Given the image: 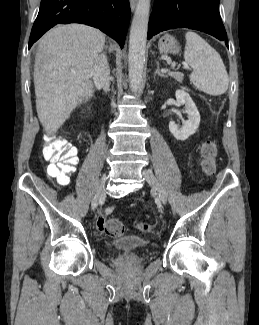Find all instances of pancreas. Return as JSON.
Instances as JSON below:
<instances>
[{
	"mask_svg": "<svg viewBox=\"0 0 259 325\" xmlns=\"http://www.w3.org/2000/svg\"><path fill=\"white\" fill-rule=\"evenodd\" d=\"M168 75L173 77L175 80H177L180 83H182L183 78H184L183 73H180V72H169Z\"/></svg>",
	"mask_w": 259,
	"mask_h": 325,
	"instance_id": "1",
	"label": "pancreas"
}]
</instances>
